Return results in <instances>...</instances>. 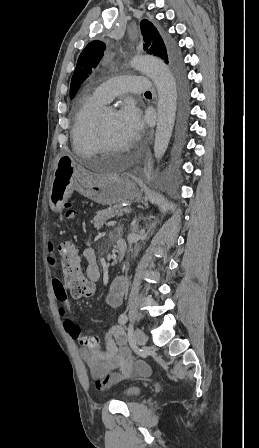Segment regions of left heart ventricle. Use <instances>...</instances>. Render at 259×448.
<instances>
[{
	"label": "left heart ventricle",
	"mask_w": 259,
	"mask_h": 448,
	"mask_svg": "<svg viewBox=\"0 0 259 448\" xmlns=\"http://www.w3.org/2000/svg\"><path fill=\"white\" fill-rule=\"evenodd\" d=\"M103 121L106 127L109 141L118 150L126 144V133L122 130L117 122V114L115 112H108L102 114ZM80 156L86 158L91 155L99 154L96 150H79L76 151Z\"/></svg>",
	"instance_id": "obj_1"
}]
</instances>
